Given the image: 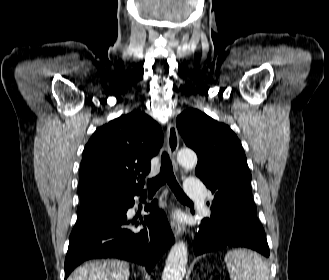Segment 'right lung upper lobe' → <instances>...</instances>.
I'll return each instance as SVG.
<instances>
[{"label":"right lung upper lobe","mask_w":329,"mask_h":280,"mask_svg":"<svg viewBox=\"0 0 329 280\" xmlns=\"http://www.w3.org/2000/svg\"><path fill=\"white\" fill-rule=\"evenodd\" d=\"M162 143L158 123L141 111L121 115L99 127L83 151L81 200L142 189L150 160Z\"/></svg>","instance_id":"cb5924a9"}]
</instances>
